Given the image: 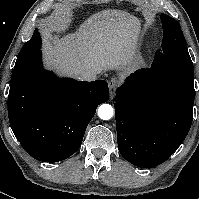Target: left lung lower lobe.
<instances>
[{
    "instance_id": "left-lung-lower-lobe-1",
    "label": "left lung lower lobe",
    "mask_w": 199,
    "mask_h": 199,
    "mask_svg": "<svg viewBox=\"0 0 199 199\" xmlns=\"http://www.w3.org/2000/svg\"><path fill=\"white\" fill-rule=\"evenodd\" d=\"M194 72L177 66L140 69L116 91L118 149L130 163L151 168L183 143L193 119Z\"/></svg>"
}]
</instances>
